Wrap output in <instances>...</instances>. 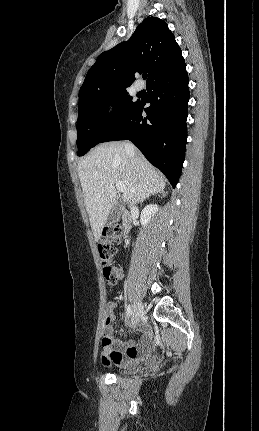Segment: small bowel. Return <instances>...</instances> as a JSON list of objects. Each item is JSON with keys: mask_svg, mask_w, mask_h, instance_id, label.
I'll list each match as a JSON object with an SVG mask.
<instances>
[{"mask_svg": "<svg viewBox=\"0 0 259 431\" xmlns=\"http://www.w3.org/2000/svg\"><path fill=\"white\" fill-rule=\"evenodd\" d=\"M115 302H110L107 307L105 335L110 339V343L103 344L102 362L105 365L114 364L116 366H128L135 361L145 357L150 350L152 334L146 325H139L143 332L142 340L136 344L134 342L124 343L113 338L114 308Z\"/></svg>", "mask_w": 259, "mask_h": 431, "instance_id": "small-bowel-1", "label": "small bowel"}]
</instances>
